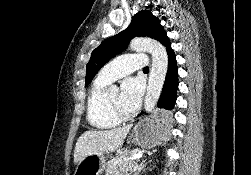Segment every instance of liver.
<instances>
[{
    "label": "liver",
    "mask_w": 251,
    "mask_h": 175,
    "mask_svg": "<svg viewBox=\"0 0 251 175\" xmlns=\"http://www.w3.org/2000/svg\"><path fill=\"white\" fill-rule=\"evenodd\" d=\"M131 127L132 125H124V127H116V129H108V131H94V129L84 131L76 141L75 165L82 161L86 153H108V151L121 147Z\"/></svg>",
    "instance_id": "1"
}]
</instances>
